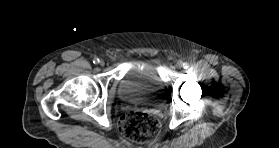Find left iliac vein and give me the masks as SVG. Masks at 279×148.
<instances>
[{"mask_svg": "<svg viewBox=\"0 0 279 148\" xmlns=\"http://www.w3.org/2000/svg\"><path fill=\"white\" fill-rule=\"evenodd\" d=\"M176 67H177V68H181V67H182V63H181V62H178V63L176 64Z\"/></svg>", "mask_w": 279, "mask_h": 148, "instance_id": "left-iliac-vein-1", "label": "left iliac vein"}]
</instances>
